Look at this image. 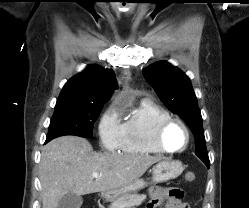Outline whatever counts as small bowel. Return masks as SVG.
I'll list each match as a JSON object with an SVG mask.
<instances>
[{"label": "small bowel", "instance_id": "obj_1", "mask_svg": "<svg viewBox=\"0 0 249 208\" xmlns=\"http://www.w3.org/2000/svg\"><path fill=\"white\" fill-rule=\"evenodd\" d=\"M151 200L147 208H158L165 202L166 208H190L189 205L182 201L183 192L174 187H152L149 191Z\"/></svg>", "mask_w": 249, "mask_h": 208}]
</instances>
